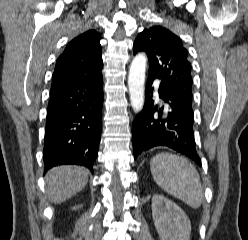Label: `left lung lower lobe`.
<instances>
[{
  "instance_id": "obj_1",
  "label": "left lung lower lobe",
  "mask_w": 248,
  "mask_h": 240,
  "mask_svg": "<svg viewBox=\"0 0 248 240\" xmlns=\"http://www.w3.org/2000/svg\"><path fill=\"white\" fill-rule=\"evenodd\" d=\"M154 79L147 78L144 107L132 124L134 158L152 147L167 146L201 165L195 148L192 102L161 83L159 97L166 105L155 104L151 87Z\"/></svg>"
}]
</instances>
